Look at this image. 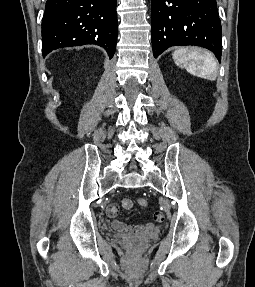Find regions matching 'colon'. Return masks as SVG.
<instances>
[{
    "instance_id": "obj_1",
    "label": "colon",
    "mask_w": 255,
    "mask_h": 287,
    "mask_svg": "<svg viewBox=\"0 0 255 287\" xmlns=\"http://www.w3.org/2000/svg\"><path fill=\"white\" fill-rule=\"evenodd\" d=\"M138 203L140 206L146 207L147 206V200H145L144 198H139L138 199Z\"/></svg>"
}]
</instances>
